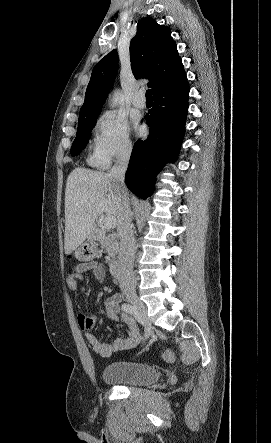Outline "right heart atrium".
I'll return each mask as SVG.
<instances>
[{
  "mask_svg": "<svg viewBox=\"0 0 271 443\" xmlns=\"http://www.w3.org/2000/svg\"><path fill=\"white\" fill-rule=\"evenodd\" d=\"M132 149V134L128 122L113 111L102 112L94 122L91 141L96 164L107 165L116 158L130 154Z\"/></svg>",
  "mask_w": 271,
  "mask_h": 443,
  "instance_id": "1",
  "label": "right heart atrium"
}]
</instances>
